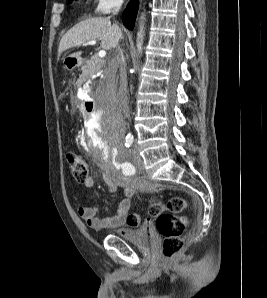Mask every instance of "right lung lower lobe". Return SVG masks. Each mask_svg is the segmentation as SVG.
I'll return each mask as SVG.
<instances>
[{
  "instance_id": "right-lung-lower-lobe-1",
  "label": "right lung lower lobe",
  "mask_w": 267,
  "mask_h": 298,
  "mask_svg": "<svg viewBox=\"0 0 267 298\" xmlns=\"http://www.w3.org/2000/svg\"><path fill=\"white\" fill-rule=\"evenodd\" d=\"M138 10V2L131 0L123 13V23L128 29H133Z\"/></svg>"
}]
</instances>
